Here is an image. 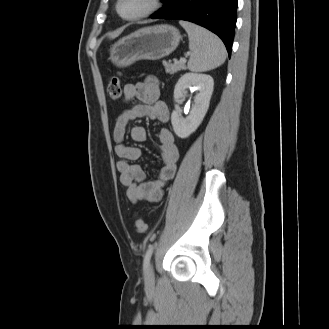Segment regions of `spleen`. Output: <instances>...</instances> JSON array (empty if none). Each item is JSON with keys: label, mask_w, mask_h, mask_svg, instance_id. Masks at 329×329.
Instances as JSON below:
<instances>
[{"label": "spleen", "mask_w": 329, "mask_h": 329, "mask_svg": "<svg viewBox=\"0 0 329 329\" xmlns=\"http://www.w3.org/2000/svg\"><path fill=\"white\" fill-rule=\"evenodd\" d=\"M189 37L191 51L188 69L205 72L222 65L226 59V49L222 41L210 31L196 24L180 21Z\"/></svg>", "instance_id": "3e777b00"}]
</instances>
